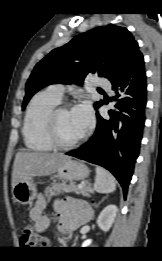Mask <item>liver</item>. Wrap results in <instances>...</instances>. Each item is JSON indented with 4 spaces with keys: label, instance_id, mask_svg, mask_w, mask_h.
Segmentation results:
<instances>
[{
    "label": "liver",
    "instance_id": "obj_1",
    "mask_svg": "<svg viewBox=\"0 0 162 261\" xmlns=\"http://www.w3.org/2000/svg\"><path fill=\"white\" fill-rule=\"evenodd\" d=\"M69 158L62 153L18 152L13 164L12 188L20 181L55 173Z\"/></svg>",
    "mask_w": 162,
    "mask_h": 261
}]
</instances>
